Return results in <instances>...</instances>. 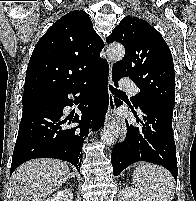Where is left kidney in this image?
Wrapping results in <instances>:
<instances>
[{
	"mask_svg": "<svg viewBox=\"0 0 196 201\" xmlns=\"http://www.w3.org/2000/svg\"><path fill=\"white\" fill-rule=\"evenodd\" d=\"M122 201H146L139 191L133 187H125L121 192Z\"/></svg>",
	"mask_w": 196,
	"mask_h": 201,
	"instance_id": "5707ae66",
	"label": "left kidney"
}]
</instances>
